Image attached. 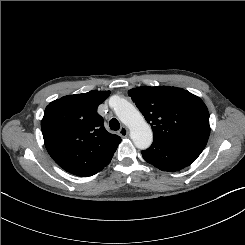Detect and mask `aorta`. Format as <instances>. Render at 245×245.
<instances>
[{
    "mask_svg": "<svg viewBox=\"0 0 245 245\" xmlns=\"http://www.w3.org/2000/svg\"><path fill=\"white\" fill-rule=\"evenodd\" d=\"M110 105L117 117L130 129V137L139 149H147L153 133L142 114L129 102L117 96L110 98Z\"/></svg>",
    "mask_w": 245,
    "mask_h": 245,
    "instance_id": "1",
    "label": "aorta"
}]
</instances>
